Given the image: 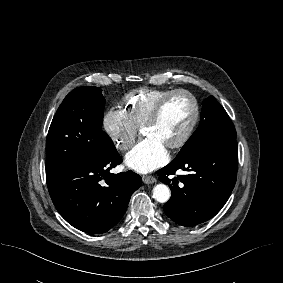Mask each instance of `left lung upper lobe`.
<instances>
[{"instance_id":"5c2ea615","label":"left lung upper lobe","mask_w":283,"mask_h":283,"mask_svg":"<svg viewBox=\"0 0 283 283\" xmlns=\"http://www.w3.org/2000/svg\"><path fill=\"white\" fill-rule=\"evenodd\" d=\"M236 130L225 109L210 96L203 101L198 128L188 139L177 156L196 147L236 139Z\"/></svg>"}]
</instances>
